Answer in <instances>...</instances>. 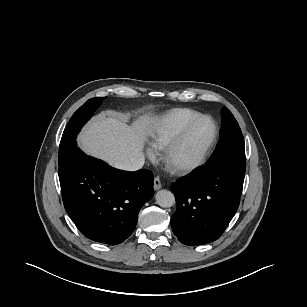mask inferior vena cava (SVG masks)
<instances>
[{"mask_svg": "<svg viewBox=\"0 0 307 307\" xmlns=\"http://www.w3.org/2000/svg\"><path fill=\"white\" fill-rule=\"evenodd\" d=\"M145 162L144 156L132 158L130 161H125L115 165L116 168L126 171H136L143 167Z\"/></svg>", "mask_w": 307, "mask_h": 307, "instance_id": "obj_1", "label": "inferior vena cava"}]
</instances>
